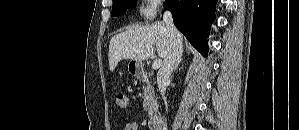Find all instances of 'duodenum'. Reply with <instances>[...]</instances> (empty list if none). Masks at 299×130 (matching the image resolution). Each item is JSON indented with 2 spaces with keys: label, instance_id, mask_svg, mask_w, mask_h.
Segmentation results:
<instances>
[{
  "label": "duodenum",
  "instance_id": "duodenum-1",
  "mask_svg": "<svg viewBox=\"0 0 299 130\" xmlns=\"http://www.w3.org/2000/svg\"><path fill=\"white\" fill-rule=\"evenodd\" d=\"M140 77L145 78L146 74L144 71L139 72ZM163 120L161 116L154 115L150 118L149 125L151 130H162Z\"/></svg>",
  "mask_w": 299,
  "mask_h": 130
}]
</instances>
